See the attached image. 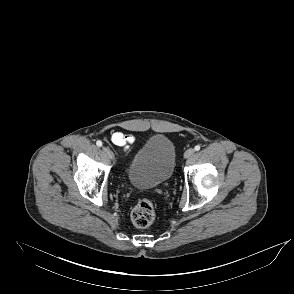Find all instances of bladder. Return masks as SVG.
Wrapping results in <instances>:
<instances>
[{
    "mask_svg": "<svg viewBox=\"0 0 294 294\" xmlns=\"http://www.w3.org/2000/svg\"><path fill=\"white\" fill-rule=\"evenodd\" d=\"M175 163L172 140L165 134H155L136 152L128 168L129 182L140 189L157 187L170 179Z\"/></svg>",
    "mask_w": 294,
    "mask_h": 294,
    "instance_id": "1",
    "label": "bladder"
}]
</instances>
